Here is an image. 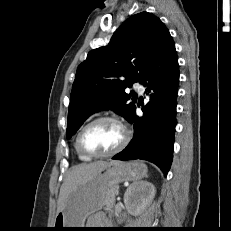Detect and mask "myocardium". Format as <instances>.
Masks as SVG:
<instances>
[{
  "mask_svg": "<svg viewBox=\"0 0 231 231\" xmlns=\"http://www.w3.org/2000/svg\"><path fill=\"white\" fill-rule=\"evenodd\" d=\"M103 121H109V122L116 123L121 128V130L123 132L122 140H121L120 144L116 148L112 149L111 151H108L105 153H100V154L91 153V152L87 151L83 146L84 133L92 125H94L98 122H103ZM130 139H131V132H130L129 128L127 127V125L120 118H118L116 116H112V115H103V116H99V117L94 118L93 120L89 121L87 124H85L81 128V130L79 131L78 136H77V148L82 155H84L90 159L91 158H105V157H110V156H113V155L121 152L127 146Z\"/></svg>",
  "mask_w": 231,
  "mask_h": 231,
  "instance_id": "1",
  "label": "myocardium"
}]
</instances>
